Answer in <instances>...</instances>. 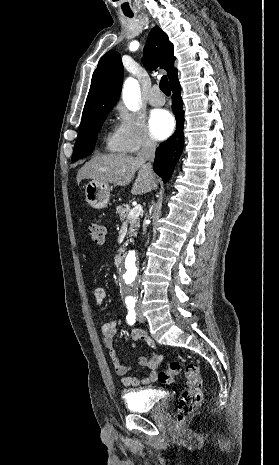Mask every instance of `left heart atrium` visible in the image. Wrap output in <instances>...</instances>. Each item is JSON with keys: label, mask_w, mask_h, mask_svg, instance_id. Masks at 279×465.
<instances>
[{"label": "left heart atrium", "mask_w": 279, "mask_h": 465, "mask_svg": "<svg viewBox=\"0 0 279 465\" xmlns=\"http://www.w3.org/2000/svg\"><path fill=\"white\" fill-rule=\"evenodd\" d=\"M149 126L153 136L157 139L167 138L174 130L175 122L166 110H155L151 113Z\"/></svg>", "instance_id": "39dd6f15"}]
</instances>
